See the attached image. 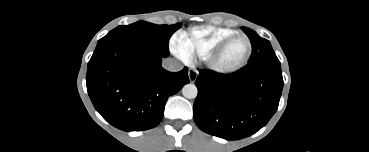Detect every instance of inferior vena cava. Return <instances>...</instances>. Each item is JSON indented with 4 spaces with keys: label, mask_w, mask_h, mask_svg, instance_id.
I'll use <instances>...</instances> for the list:
<instances>
[{
    "label": "inferior vena cava",
    "mask_w": 369,
    "mask_h": 152,
    "mask_svg": "<svg viewBox=\"0 0 369 152\" xmlns=\"http://www.w3.org/2000/svg\"><path fill=\"white\" fill-rule=\"evenodd\" d=\"M162 66L164 69L170 72L180 71L183 67L182 65L175 59L167 58L163 61Z\"/></svg>",
    "instance_id": "602c4592"
}]
</instances>
